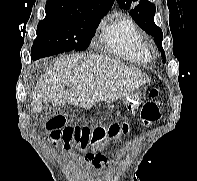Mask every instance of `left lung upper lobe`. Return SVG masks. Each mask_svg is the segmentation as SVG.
Instances as JSON below:
<instances>
[{
	"mask_svg": "<svg viewBox=\"0 0 197 181\" xmlns=\"http://www.w3.org/2000/svg\"><path fill=\"white\" fill-rule=\"evenodd\" d=\"M138 0H117L122 9L130 10V15L134 21L148 34L154 37V41L161 51L163 62L165 63V52L162 48L163 33L162 30L154 23L156 7L147 0H140L137 6L132 3Z\"/></svg>",
	"mask_w": 197,
	"mask_h": 181,
	"instance_id": "1",
	"label": "left lung upper lobe"
}]
</instances>
